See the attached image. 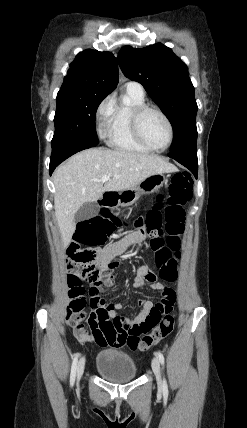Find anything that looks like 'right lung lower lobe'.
I'll return each instance as SVG.
<instances>
[{"label": "right lung lower lobe", "mask_w": 247, "mask_h": 428, "mask_svg": "<svg viewBox=\"0 0 247 428\" xmlns=\"http://www.w3.org/2000/svg\"><path fill=\"white\" fill-rule=\"evenodd\" d=\"M87 148H90V147L76 145V146H59V147L52 148V154L50 158V167H49L50 175L52 174L54 169L65 159Z\"/></svg>", "instance_id": "obj_1"}]
</instances>
